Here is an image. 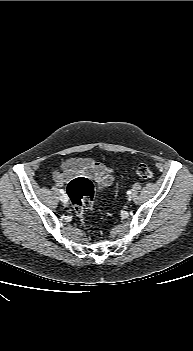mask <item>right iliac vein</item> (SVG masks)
<instances>
[{
  "instance_id": "right-iliac-vein-1",
  "label": "right iliac vein",
  "mask_w": 193,
  "mask_h": 351,
  "mask_svg": "<svg viewBox=\"0 0 193 351\" xmlns=\"http://www.w3.org/2000/svg\"><path fill=\"white\" fill-rule=\"evenodd\" d=\"M60 199H61V201L63 202V203H67L68 202V196L66 195V194H63L61 197H60Z\"/></svg>"
}]
</instances>
